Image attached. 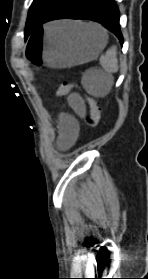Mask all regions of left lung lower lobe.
Here are the masks:
<instances>
[{
    "label": "left lung lower lobe",
    "instance_id": "1",
    "mask_svg": "<svg viewBox=\"0 0 148 279\" xmlns=\"http://www.w3.org/2000/svg\"><path fill=\"white\" fill-rule=\"evenodd\" d=\"M62 18L88 19L99 22L113 32L121 44L123 42L119 25L120 13L114 0H65L41 24Z\"/></svg>",
    "mask_w": 148,
    "mask_h": 279
}]
</instances>
